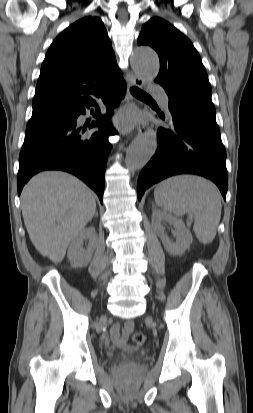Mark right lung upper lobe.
Instances as JSON below:
<instances>
[{
    "mask_svg": "<svg viewBox=\"0 0 253 413\" xmlns=\"http://www.w3.org/2000/svg\"><path fill=\"white\" fill-rule=\"evenodd\" d=\"M120 73L103 22L98 17H84L49 47L36 85L32 116L72 110L100 97Z\"/></svg>",
    "mask_w": 253,
    "mask_h": 413,
    "instance_id": "cb5924a9",
    "label": "right lung upper lobe"
}]
</instances>
